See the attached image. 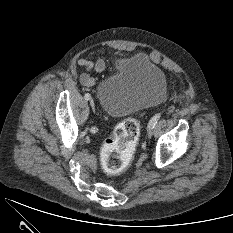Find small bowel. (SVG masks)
Here are the masks:
<instances>
[{
    "mask_svg": "<svg viewBox=\"0 0 233 233\" xmlns=\"http://www.w3.org/2000/svg\"><path fill=\"white\" fill-rule=\"evenodd\" d=\"M78 65L82 67L83 71L80 75L81 83L85 86H92L94 84V78L89 74L94 70L97 73H102L105 70V62L102 59L93 61L92 59H78Z\"/></svg>",
    "mask_w": 233,
    "mask_h": 233,
    "instance_id": "c3829d8e",
    "label": "small bowel"
}]
</instances>
